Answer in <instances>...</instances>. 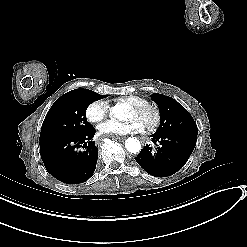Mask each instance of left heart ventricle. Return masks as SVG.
<instances>
[{"label": "left heart ventricle", "mask_w": 247, "mask_h": 247, "mask_svg": "<svg viewBox=\"0 0 247 247\" xmlns=\"http://www.w3.org/2000/svg\"><path fill=\"white\" fill-rule=\"evenodd\" d=\"M153 112L150 109H145L141 113H135L131 109L128 111L127 120H136L139 122L141 129L147 131L153 122Z\"/></svg>", "instance_id": "obj_1"}]
</instances>
